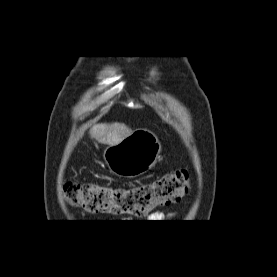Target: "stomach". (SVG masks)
Masks as SVG:
<instances>
[{"label":"stomach","instance_id":"stomach-1","mask_svg":"<svg viewBox=\"0 0 277 277\" xmlns=\"http://www.w3.org/2000/svg\"><path fill=\"white\" fill-rule=\"evenodd\" d=\"M161 148V142L154 132L139 129L118 144L108 146L104 150L103 158L113 174L134 178L155 165Z\"/></svg>","mask_w":277,"mask_h":277}]
</instances>
